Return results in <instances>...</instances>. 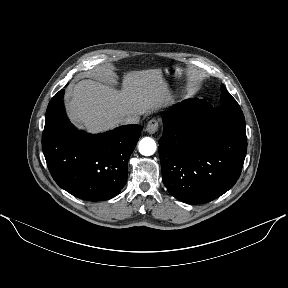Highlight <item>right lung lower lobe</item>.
<instances>
[{
	"label": "right lung lower lobe",
	"mask_w": 288,
	"mask_h": 288,
	"mask_svg": "<svg viewBox=\"0 0 288 288\" xmlns=\"http://www.w3.org/2000/svg\"><path fill=\"white\" fill-rule=\"evenodd\" d=\"M64 90L50 101L42 148L55 182L75 197L103 201L116 196L128 175V160L142 126L126 125L103 134L77 130L63 105Z\"/></svg>",
	"instance_id": "right-lung-lower-lobe-1"
}]
</instances>
